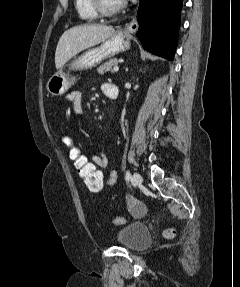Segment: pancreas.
Returning a JSON list of instances; mask_svg holds the SVG:
<instances>
[{"mask_svg": "<svg viewBox=\"0 0 240 287\" xmlns=\"http://www.w3.org/2000/svg\"><path fill=\"white\" fill-rule=\"evenodd\" d=\"M118 64L117 59H110L109 61L103 63L98 69L97 72L99 74H103L104 72H112L113 73V66Z\"/></svg>", "mask_w": 240, "mask_h": 287, "instance_id": "pancreas-1", "label": "pancreas"}]
</instances>
